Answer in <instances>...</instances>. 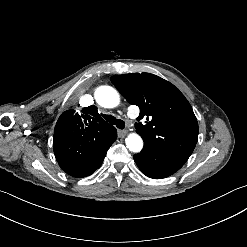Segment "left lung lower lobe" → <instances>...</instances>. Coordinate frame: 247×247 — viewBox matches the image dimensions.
<instances>
[{
	"mask_svg": "<svg viewBox=\"0 0 247 247\" xmlns=\"http://www.w3.org/2000/svg\"><path fill=\"white\" fill-rule=\"evenodd\" d=\"M134 161L143 174L153 179L166 178L178 171L185 163L147 144H144L140 153L134 155Z\"/></svg>",
	"mask_w": 247,
	"mask_h": 247,
	"instance_id": "1",
	"label": "left lung lower lobe"
}]
</instances>
